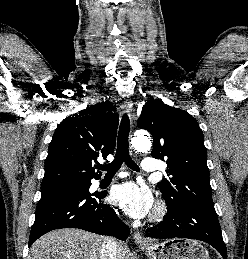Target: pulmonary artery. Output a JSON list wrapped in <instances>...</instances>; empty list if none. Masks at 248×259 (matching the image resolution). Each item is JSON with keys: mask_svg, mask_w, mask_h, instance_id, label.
<instances>
[{"mask_svg": "<svg viewBox=\"0 0 248 259\" xmlns=\"http://www.w3.org/2000/svg\"><path fill=\"white\" fill-rule=\"evenodd\" d=\"M141 170L144 173H153L158 170L157 162L153 158H144L141 164ZM125 174H120L119 177H124Z\"/></svg>", "mask_w": 248, "mask_h": 259, "instance_id": "pulmonary-artery-1", "label": "pulmonary artery"}]
</instances>
